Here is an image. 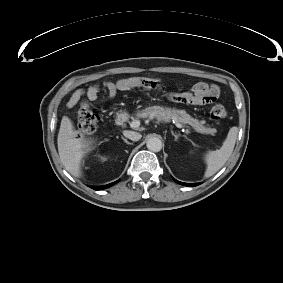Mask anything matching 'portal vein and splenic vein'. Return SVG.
<instances>
[{"instance_id":"portal-vein-and-splenic-vein-1","label":"portal vein and splenic vein","mask_w":283,"mask_h":283,"mask_svg":"<svg viewBox=\"0 0 283 283\" xmlns=\"http://www.w3.org/2000/svg\"><path fill=\"white\" fill-rule=\"evenodd\" d=\"M140 125V122L138 120H134L132 123H131V127L133 128H137L138 126ZM176 126L178 128H182V125L180 123H176Z\"/></svg>"}]
</instances>
